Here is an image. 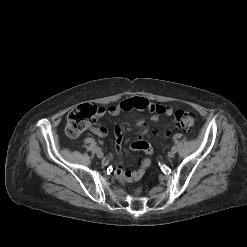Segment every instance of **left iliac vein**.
<instances>
[{
  "instance_id": "4c4485c4",
  "label": "left iliac vein",
  "mask_w": 247,
  "mask_h": 247,
  "mask_svg": "<svg viewBox=\"0 0 247 247\" xmlns=\"http://www.w3.org/2000/svg\"><path fill=\"white\" fill-rule=\"evenodd\" d=\"M175 155V152L173 150H171L169 153H168V158H173Z\"/></svg>"
}]
</instances>
